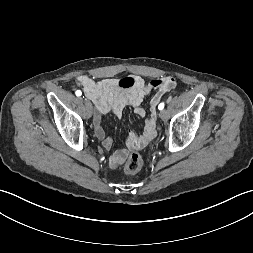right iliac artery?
<instances>
[{
  "mask_svg": "<svg viewBox=\"0 0 253 253\" xmlns=\"http://www.w3.org/2000/svg\"><path fill=\"white\" fill-rule=\"evenodd\" d=\"M75 94H76L77 96H81V95H82V92H81L80 90H77V91L75 92Z\"/></svg>",
  "mask_w": 253,
  "mask_h": 253,
  "instance_id": "82829eb1",
  "label": "right iliac artery"
}]
</instances>
